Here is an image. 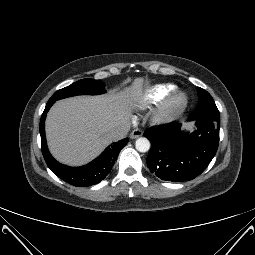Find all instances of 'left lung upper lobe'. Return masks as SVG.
<instances>
[{
	"label": "left lung upper lobe",
	"instance_id": "obj_1",
	"mask_svg": "<svg viewBox=\"0 0 255 255\" xmlns=\"http://www.w3.org/2000/svg\"><path fill=\"white\" fill-rule=\"evenodd\" d=\"M197 91L199 103L190 116L193 119L220 118L219 111L211 95L200 87Z\"/></svg>",
	"mask_w": 255,
	"mask_h": 255
}]
</instances>
